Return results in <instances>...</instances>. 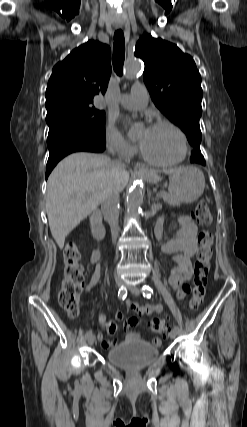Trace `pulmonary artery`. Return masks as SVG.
<instances>
[{
	"label": "pulmonary artery",
	"instance_id": "pulmonary-artery-1",
	"mask_svg": "<svg viewBox=\"0 0 247 427\" xmlns=\"http://www.w3.org/2000/svg\"><path fill=\"white\" fill-rule=\"evenodd\" d=\"M148 92L143 84L133 85L130 94H123L119 103L129 109H141L148 103Z\"/></svg>",
	"mask_w": 247,
	"mask_h": 427
}]
</instances>
